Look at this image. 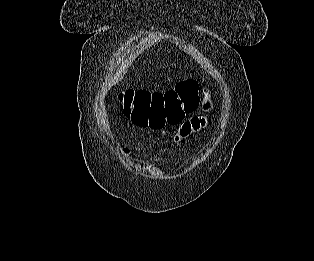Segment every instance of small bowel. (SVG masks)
<instances>
[{
	"label": "small bowel",
	"mask_w": 314,
	"mask_h": 261,
	"mask_svg": "<svg viewBox=\"0 0 314 261\" xmlns=\"http://www.w3.org/2000/svg\"><path fill=\"white\" fill-rule=\"evenodd\" d=\"M205 125V119L202 117H195L188 121L186 124H182L181 129H176V133H171L173 130V125H168V129L164 130V135L168 137L169 140H185L186 136H189L191 131H196ZM190 131V132H189Z\"/></svg>",
	"instance_id": "1"
}]
</instances>
